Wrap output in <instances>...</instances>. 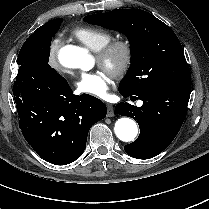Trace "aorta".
Segmentation results:
<instances>
[{"label":"aorta","instance_id":"aorta-1","mask_svg":"<svg viewBox=\"0 0 209 209\" xmlns=\"http://www.w3.org/2000/svg\"><path fill=\"white\" fill-rule=\"evenodd\" d=\"M59 62L67 68L90 70L94 61L85 48L67 45L60 49L58 54ZM114 131L116 136L124 142H130L138 134L136 122L128 117H122L115 123Z\"/></svg>","mask_w":209,"mask_h":209}]
</instances>
